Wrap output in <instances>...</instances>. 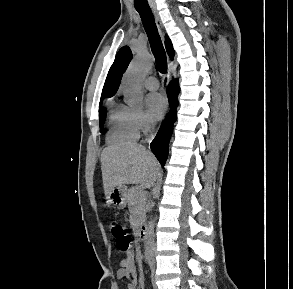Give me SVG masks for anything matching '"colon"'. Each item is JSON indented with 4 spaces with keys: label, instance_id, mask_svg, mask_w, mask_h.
Returning <instances> with one entry per match:
<instances>
[{
    "label": "colon",
    "instance_id": "5ec220e1",
    "mask_svg": "<svg viewBox=\"0 0 293 289\" xmlns=\"http://www.w3.org/2000/svg\"><path fill=\"white\" fill-rule=\"evenodd\" d=\"M109 228L119 249L123 252L130 251L132 236L129 231L122 224L116 221L111 222Z\"/></svg>",
    "mask_w": 293,
    "mask_h": 289
}]
</instances>
